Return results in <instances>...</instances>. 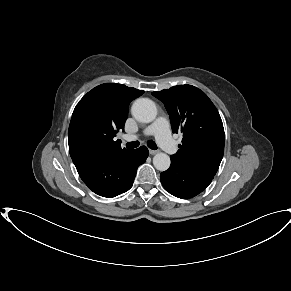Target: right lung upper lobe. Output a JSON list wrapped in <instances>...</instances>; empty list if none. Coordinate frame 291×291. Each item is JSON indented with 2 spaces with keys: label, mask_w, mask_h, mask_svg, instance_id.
<instances>
[{
  "label": "right lung upper lobe",
  "mask_w": 291,
  "mask_h": 291,
  "mask_svg": "<svg viewBox=\"0 0 291 291\" xmlns=\"http://www.w3.org/2000/svg\"><path fill=\"white\" fill-rule=\"evenodd\" d=\"M143 93L114 83L99 85L88 92L72 114L68 131L70 153L79 151L111 158L127 151L114 137L124 129L129 103Z\"/></svg>",
  "instance_id": "right-lung-upper-lobe-1"
}]
</instances>
